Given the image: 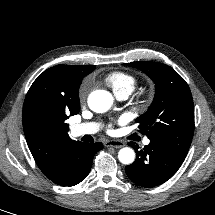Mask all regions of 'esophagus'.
<instances>
[{
	"label": "esophagus",
	"mask_w": 215,
	"mask_h": 215,
	"mask_svg": "<svg viewBox=\"0 0 215 215\" xmlns=\"http://www.w3.org/2000/svg\"><path fill=\"white\" fill-rule=\"evenodd\" d=\"M105 146L114 147V148H122L125 146V143L119 140H108L105 142Z\"/></svg>",
	"instance_id": "obj_1"
}]
</instances>
